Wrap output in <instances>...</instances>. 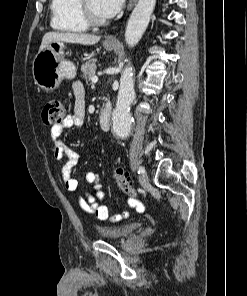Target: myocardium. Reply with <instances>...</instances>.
I'll list each match as a JSON object with an SVG mask.
<instances>
[{"mask_svg": "<svg viewBox=\"0 0 247 296\" xmlns=\"http://www.w3.org/2000/svg\"><path fill=\"white\" fill-rule=\"evenodd\" d=\"M78 10L81 19L88 26H102L107 23L105 18H98L92 13L88 5V0H79Z\"/></svg>", "mask_w": 247, "mask_h": 296, "instance_id": "f54148a6", "label": "myocardium"}]
</instances>
